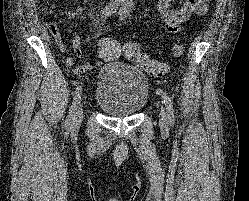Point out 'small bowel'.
I'll list each match as a JSON object with an SVG mask.
<instances>
[{"instance_id": "1", "label": "small bowel", "mask_w": 249, "mask_h": 201, "mask_svg": "<svg viewBox=\"0 0 249 201\" xmlns=\"http://www.w3.org/2000/svg\"><path fill=\"white\" fill-rule=\"evenodd\" d=\"M175 0H157V9L162 15L165 29L172 34L182 31L183 24L187 22L193 15H204L207 12L208 4L211 0H185L180 8L175 9L173 2ZM49 33L56 41L61 52L66 50L65 42L62 39L61 33L57 25L53 22L45 24ZM106 29L100 30L96 37L102 35ZM72 50L76 57L82 58L83 51L81 47V40L78 34H74L72 38ZM69 67L74 66L75 60L73 57H67L65 61ZM100 65V61H88L83 65L75 66L73 68L74 74H81L84 71H90Z\"/></svg>"}]
</instances>
